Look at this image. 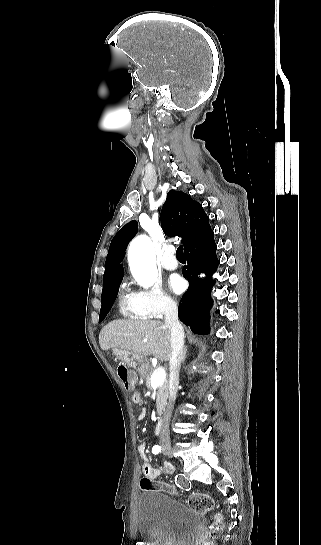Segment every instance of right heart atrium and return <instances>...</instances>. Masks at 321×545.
<instances>
[{"instance_id": "obj_1", "label": "right heart atrium", "mask_w": 321, "mask_h": 545, "mask_svg": "<svg viewBox=\"0 0 321 545\" xmlns=\"http://www.w3.org/2000/svg\"><path fill=\"white\" fill-rule=\"evenodd\" d=\"M130 297L136 311L144 319H162L178 308L176 300L163 292L156 281L146 289L133 291Z\"/></svg>"}]
</instances>
